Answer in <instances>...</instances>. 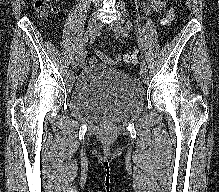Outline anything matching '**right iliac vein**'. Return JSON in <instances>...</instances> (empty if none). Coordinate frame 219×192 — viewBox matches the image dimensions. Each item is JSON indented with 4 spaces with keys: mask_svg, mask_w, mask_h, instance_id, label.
Wrapping results in <instances>:
<instances>
[{
    "mask_svg": "<svg viewBox=\"0 0 219 192\" xmlns=\"http://www.w3.org/2000/svg\"><path fill=\"white\" fill-rule=\"evenodd\" d=\"M97 15L94 13L92 14L91 18L89 19V23H88V30L93 31L96 24H97ZM82 56L79 54L78 56H76L73 61H72V68L76 69L77 66L79 65V62L81 60Z\"/></svg>",
    "mask_w": 219,
    "mask_h": 192,
    "instance_id": "right-iliac-vein-1",
    "label": "right iliac vein"
}]
</instances>
